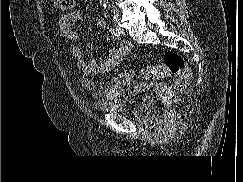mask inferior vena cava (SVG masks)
I'll return each mask as SVG.
<instances>
[{"instance_id": "1", "label": "inferior vena cava", "mask_w": 243, "mask_h": 182, "mask_svg": "<svg viewBox=\"0 0 243 182\" xmlns=\"http://www.w3.org/2000/svg\"><path fill=\"white\" fill-rule=\"evenodd\" d=\"M113 8H115L113 11H114V14H117L118 13V10L116 9V7H114L113 5Z\"/></svg>"}]
</instances>
